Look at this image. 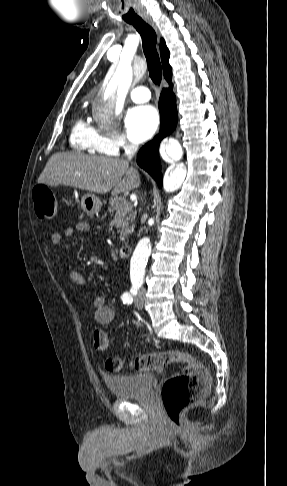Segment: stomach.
<instances>
[{
    "mask_svg": "<svg viewBox=\"0 0 287 486\" xmlns=\"http://www.w3.org/2000/svg\"><path fill=\"white\" fill-rule=\"evenodd\" d=\"M101 206V200L93 193H86L81 198V208L88 214L97 213Z\"/></svg>",
    "mask_w": 287,
    "mask_h": 486,
    "instance_id": "0dacf381",
    "label": "stomach"
}]
</instances>
